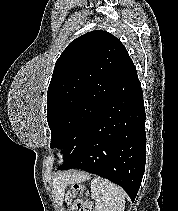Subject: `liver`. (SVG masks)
Wrapping results in <instances>:
<instances>
[{
  "instance_id": "liver-1",
  "label": "liver",
  "mask_w": 178,
  "mask_h": 211,
  "mask_svg": "<svg viewBox=\"0 0 178 211\" xmlns=\"http://www.w3.org/2000/svg\"><path fill=\"white\" fill-rule=\"evenodd\" d=\"M81 178V174L77 172H63L59 174V176L55 177L53 180V188L55 191V194L62 198L64 195L65 188L76 182L79 181Z\"/></svg>"
}]
</instances>
